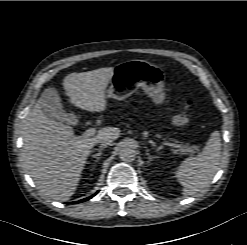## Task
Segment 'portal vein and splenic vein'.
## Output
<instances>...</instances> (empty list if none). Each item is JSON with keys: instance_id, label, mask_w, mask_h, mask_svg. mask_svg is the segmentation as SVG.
Returning <instances> with one entry per match:
<instances>
[{"instance_id": "portal-vein-and-splenic-vein-1", "label": "portal vein and splenic vein", "mask_w": 247, "mask_h": 245, "mask_svg": "<svg viewBox=\"0 0 247 245\" xmlns=\"http://www.w3.org/2000/svg\"><path fill=\"white\" fill-rule=\"evenodd\" d=\"M95 133H96V129L95 128H89V129H87L85 131V136L90 137V136H93ZM162 144L165 145V146H169V147H173L174 146L172 143H169V142H166V141H163ZM192 149L193 150L191 152H193L194 150H198V147L192 146Z\"/></svg>"}]
</instances>
